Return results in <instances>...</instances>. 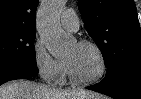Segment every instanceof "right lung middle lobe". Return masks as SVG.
<instances>
[{"label":"right lung middle lobe","mask_w":141,"mask_h":99,"mask_svg":"<svg viewBox=\"0 0 141 99\" xmlns=\"http://www.w3.org/2000/svg\"><path fill=\"white\" fill-rule=\"evenodd\" d=\"M35 28L0 27V67L22 65L37 67L35 58Z\"/></svg>","instance_id":"dd1d6c3e"}]
</instances>
